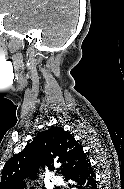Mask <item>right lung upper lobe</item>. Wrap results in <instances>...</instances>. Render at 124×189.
Masks as SVG:
<instances>
[{
    "mask_svg": "<svg viewBox=\"0 0 124 189\" xmlns=\"http://www.w3.org/2000/svg\"><path fill=\"white\" fill-rule=\"evenodd\" d=\"M89 159L74 136L62 127H52L38 133L23 151L11 157L3 167L1 189H23V178L36 179L39 166L54 170L59 163L63 176L77 171Z\"/></svg>",
    "mask_w": 124,
    "mask_h": 189,
    "instance_id": "right-lung-upper-lobe-1",
    "label": "right lung upper lobe"
}]
</instances>
